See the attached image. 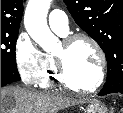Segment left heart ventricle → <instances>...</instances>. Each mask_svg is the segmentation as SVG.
I'll use <instances>...</instances> for the list:
<instances>
[{
    "label": "left heart ventricle",
    "mask_w": 123,
    "mask_h": 113,
    "mask_svg": "<svg viewBox=\"0 0 123 113\" xmlns=\"http://www.w3.org/2000/svg\"><path fill=\"white\" fill-rule=\"evenodd\" d=\"M62 57L72 82L82 87L93 84L98 76L99 61L94 48L86 41H77L65 49L62 44L55 52Z\"/></svg>",
    "instance_id": "b2bd125f"
}]
</instances>
